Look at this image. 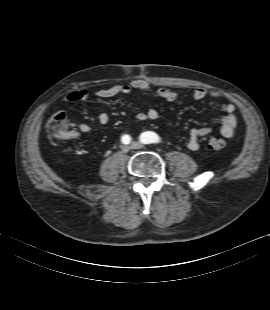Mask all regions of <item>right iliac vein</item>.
Here are the masks:
<instances>
[{"label":"right iliac vein","instance_id":"1","mask_svg":"<svg viewBox=\"0 0 270 310\" xmlns=\"http://www.w3.org/2000/svg\"><path fill=\"white\" fill-rule=\"evenodd\" d=\"M121 149L123 153H127L130 151L131 147L128 145H123Z\"/></svg>","mask_w":270,"mask_h":310}]
</instances>
